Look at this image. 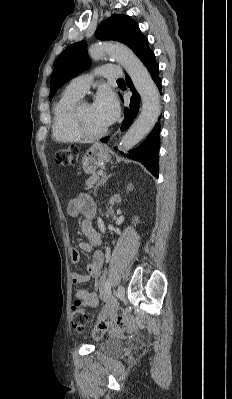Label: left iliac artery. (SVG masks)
Listing matches in <instances>:
<instances>
[{
  "label": "left iliac artery",
  "mask_w": 232,
  "mask_h": 399,
  "mask_svg": "<svg viewBox=\"0 0 232 399\" xmlns=\"http://www.w3.org/2000/svg\"><path fill=\"white\" fill-rule=\"evenodd\" d=\"M105 286L110 287L111 286V280H107L105 283ZM114 294L116 297H119V294L116 290H114Z\"/></svg>",
  "instance_id": "left-iliac-artery-1"
}]
</instances>
